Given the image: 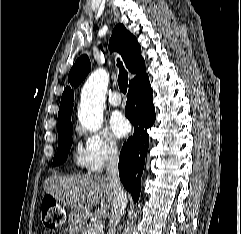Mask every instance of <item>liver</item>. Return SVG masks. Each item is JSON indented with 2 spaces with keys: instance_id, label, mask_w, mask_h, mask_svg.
Masks as SVG:
<instances>
[{
  "instance_id": "6515ba94",
  "label": "liver",
  "mask_w": 241,
  "mask_h": 234,
  "mask_svg": "<svg viewBox=\"0 0 241 234\" xmlns=\"http://www.w3.org/2000/svg\"><path fill=\"white\" fill-rule=\"evenodd\" d=\"M44 190L57 201L71 207L74 213L86 220L94 207L96 217L107 218L113 209L114 193L106 176L102 175H54L47 178Z\"/></svg>"
}]
</instances>
